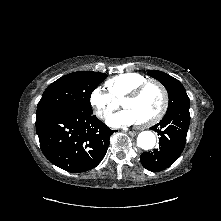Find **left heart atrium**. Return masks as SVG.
<instances>
[{
	"label": "left heart atrium",
	"mask_w": 221,
	"mask_h": 221,
	"mask_svg": "<svg viewBox=\"0 0 221 221\" xmlns=\"http://www.w3.org/2000/svg\"><path fill=\"white\" fill-rule=\"evenodd\" d=\"M107 123L114 127L129 126L137 124L138 120L130 110L125 109L118 114L109 116Z\"/></svg>",
	"instance_id": "left-heart-atrium-1"
}]
</instances>
